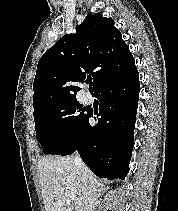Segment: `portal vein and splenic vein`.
Instances as JSON below:
<instances>
[{"mask_svg": "<svg viewBox=\"0 0 178 211\" xmlns=\"http://www.w3.org/2000/svg\"><path fill=\"white\" fill-rule=\"evenodd\" d=\"M70 198L72 201H74L76 199V197L74 195H71Z\"/></svg>", "mask_w": 178, "mask_h": 211, "instance_id": "1", "label": "portal vein and splenic vein"}]
</instances>
